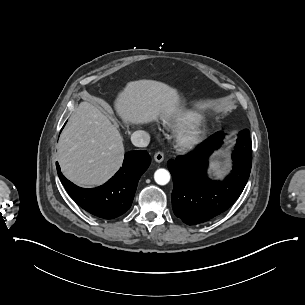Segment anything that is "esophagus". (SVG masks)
I'll return each mask as SVG.
<instances>
[{
	"instance_id": "1",
	"label": "esophagus",
	"mask_w": 305,
	"mask_h": 305,
	"mask_svg": "<svg viewBox=\"0 0 305 305\" xmlns=\"http://www.w3.org/2000/svg\"><path fill=\"white\" fill-rule=\"evenodd\" d=\"M154 159H155L156 162L160 163L164 160V154L162 152H157L154 155Z\"/></svg>"
}]
</instances>
